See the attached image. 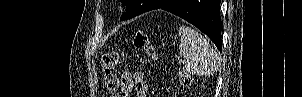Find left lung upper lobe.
<instances>
[{"mask_svg": "<svg viewBox=\"0 0 302 97\" xmlns=\"http://www.w3.org/2000/svg\"><path fill=\"white\" fill-rule=\"evenodd\" d=\"M121 2L125 4L127 9L120 20H127L149 8L153 0H121Z\"/></svg>", "mask_w": 302, "mask_h": 97, "instance_id": "left-lung-upper-lobe-1", "label": "left lung upper lobe"}]
</instances>
